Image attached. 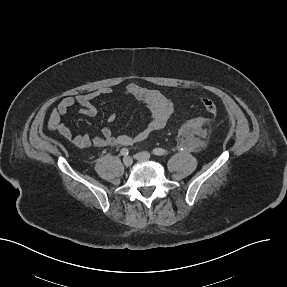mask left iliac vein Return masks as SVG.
<instances>
[{"mask_svg": "<svg viewBox=\"0 0 287 287\" xmlns=\"http://www.w3.org/2000/svg\"><path fill=\"white\" fill-rule=\"evenodd\" d=\"M134 158L141 162L149 161L151 158V155L148 152H140L134 155Z\"/></svg>", "mask_w": 287, "mask_h": 287, "instance_id": "1", "label": "left iliac vein"}]
</instances>
